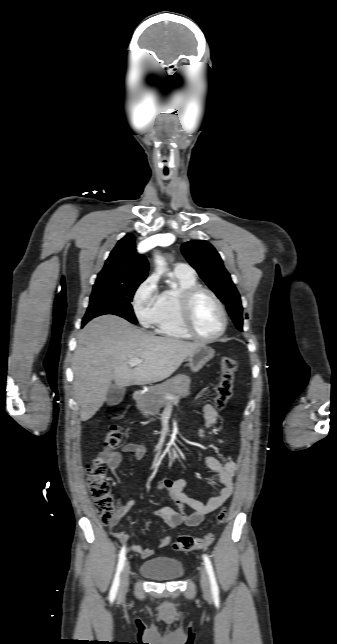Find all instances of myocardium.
<instances>
[{"label": "myocardium", "mask_w": 337, "mask_h": 644, "mask_svg": "<svg viewBox=\"0 0 337 644\" xmlns=\"http://www.w3.org/2000/svg\"><path fill=\"white\" fill-rule=\"evenodd\" d=\"M201 294H208L217 304L219 307V310L221 312L222 316V325L220 330L213 336L211 337H204L200 335L193 324V308H194V303L196 299L198 298L199 295ZM180 319L181 323L186 330V332L194 339L210 343L218 340L220 337H222L227 329L228 325V314L227 310L225 308L224 303L222 300L219 298V296L211 289L201 286V285H196L193 287H190L186 289L183 294L181 295L180 299Z\"/></svg>", "instance_id": "myocardium-1"}]
</instances>
